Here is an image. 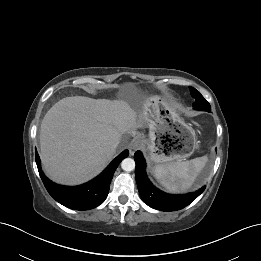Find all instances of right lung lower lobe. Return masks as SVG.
I'll return each mask as SVG.
<instances>
[{"instance_id": "right-lung-lower-lobe-1", "label": "right lung lower lobe", "mask_w": 261, "mask_h": 261, "mask_svg": "<svg viewBox=\"0 0 261 261\" xmlns=\"http://www.w3.org/2000/svg\"><path fill=\"white\" fill-rule=\"evenodd\" d=\"M128 155V150L123 151L95 179L74 187L62 186L50 181L41 170L40 159L37 151L36 164L47 191L57 202L71 209L89 210L104 202L109 193L110 182L116 168Z\"/></svg>"}]
</instances>
